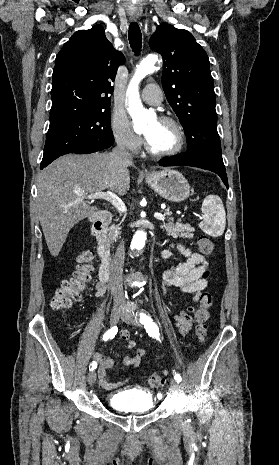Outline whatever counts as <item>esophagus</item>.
<instances>
[{"mask_svg":"<svg viewBox=\"0 0 279 465\" xmlns=\"http://www.w3.org/2000/svg\"><path fill=\"white\" fill-rule=\"evenodd\" d=\"M130 19L136 21L138 19V14H130Z\"/></svg>","mask_w":279,"mask_h":465,"instance_id":"obj_1","label":"esophagus"}]
</instances>
